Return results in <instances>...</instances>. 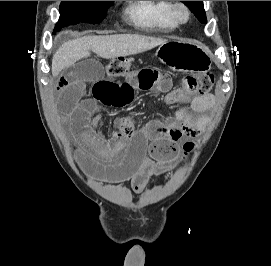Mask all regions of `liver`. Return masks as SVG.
Segmentation results:
<instances>
[{
	"instance_id": "6515ba94",
	"label": "liver",
	"mask_w": 271,
	"mask_h": 266,
	"mask_svg": "<svg viewBox=\"0 0 271 266\" xmlns=\"http://www.w3.org/2000/svg\"><path fill=\"white\" fill-rule=\"evenodd\" d=\"M166 39L136 34L87 36L64 43L52 58V75L57 77L59 67H71L74 62L90 56L92 50L104 59L129 56L166 43Z\"/></svg>"
}]
</instances>
